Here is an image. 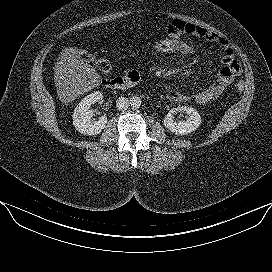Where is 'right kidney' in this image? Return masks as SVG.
I'll list each match as a JSON object with an SVG mask.
<instances>
[{"instance_id":"ca27d5eb","label":"right kidney","mask_w":272,"mask_h":272,"mask_svg":"<svg viewBox=\"0 0 272 272\" xmlns=\"http://www.w3.org/2000/svg\"><path fill=\"white\" fill-rule=\"evenodd\" d=\"M103 97V93L96 91L87 95L76 106L73 113V125L81 134L97 135L105 128L107 117L104 115L99 120L92 119L94 111L90 108L94 103L101 102Z\"/></svg>"}]
</instances>
